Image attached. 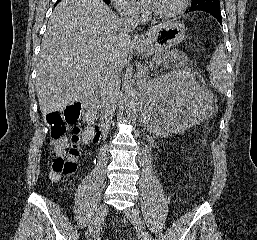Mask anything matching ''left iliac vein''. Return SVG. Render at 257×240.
<instances>
[{
  "instance_id": "left-iliac-vein-1",
  "label": "left iliac vein",
  "mask_w": 257,
  "mask_h": 240,
  "mask_svg": "<svg viewBox=\"0 0 257 240\" xmlns=\"http://www.w3.org/2000/svg\"><path fill=\"white\" fill-rule=\"evenodd\" d=\"M124 213L130 222L139 229L143 240H154L153 237L145 230L139 212L135 207L125 209Z\"/></svg>"
}]
</instances>
